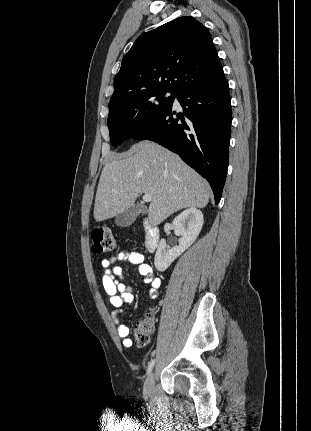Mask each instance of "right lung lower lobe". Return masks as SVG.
<instances>
[{
    "label": "right lung lower lobe",
    "instance_id": "right-lung-lower-lobe-1",
    "mask_svg": "<svg viewBox=\"0 0 311 431\" xmlns=\"http://www.w3.org/2000/svg\"><path fill=\"white\" fill-rule=\"evenodd\" d=\"M175 97L183 113L173 111L172 104L132 138L155 141L177 153L207 179L217 204L226 180L232 122L223 70L182 88Z\"/></svg>",
    "mask_w": 311,
    "mask_h": 431
}]
</instances>
